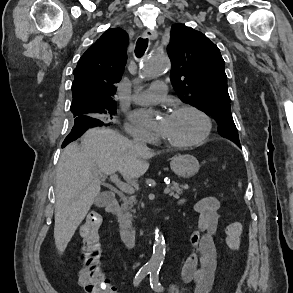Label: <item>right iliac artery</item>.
<instances>
[{
	"label": "right iliac artery",
	"mask_w": 293,
	"mask_h": 293,
	"mask_svg": "<svg viewBox=\"0 0 293 293\" xmlns=\"http://www.w3.org/2000/svg\"><path fill=\"white\" fill-rule=\"evenodd\" d=\"M151 272V268L149 267H142L136 274L134 278V285L138 286L142 279Z\"/></svg>",
	"instance_id": "obj_1"
}]
</instances>
